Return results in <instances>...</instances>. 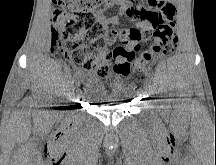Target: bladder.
Returning a JSON list of instances; mask_svg holds the SVG:
<instances>
[{"label":"bladder","instance_id":"31cf9c89","mask_svg":"<svg viewBox=\"0 0 216 165\" xmlns=\"http://www.w3.org/2000/svg\"><path fill=\"white\" fill-rule=\"evenodd\" d=\"M90 82H95L93 79ZM121 81H97L95 86V92L93 91L91 85L87 86L86 91L83 93L84 97L89 98L91 100H108L109 97H119L121 93L120 87ZM114 89V90H113ZM126 105L123 102L119 101H101V106H124Z\"/></svg>","mask_w":216,"mask_h":165}]
</instances>
